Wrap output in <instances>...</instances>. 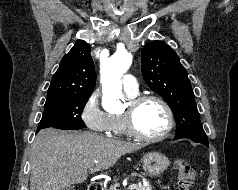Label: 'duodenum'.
Returning <instances> with one entry per match:
<instances>
[{
    "label": "duodenum",
    "instance_id": "410a0bca",
    "mask_svg": "<svg viewBox=\"0 0 238 190\" xmlns=\"http://www.w3.org/2000/svg\"><path fill=\"white\" fill-rule=\"evenodd\" d=\"M88 190H103V185L98 182L91 183Z\"/></svg>",
    "mask_w": 238,
    "mask_h": 190
}]
</instances>
